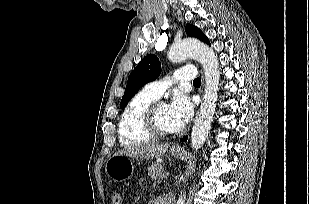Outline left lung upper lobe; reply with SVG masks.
I'll return each instance as SVG.
<instances>
[{"instance_id": "5c2ea615", "label": "left lung upper lobe", "mask_w": 309, "mask_h": 204, "mask_svg": "<svg viewBox=\"0 0 309 204\" xmlns=\"http://www.w3.org/2000/svg\"><path fill=\"white\" fill-rule=\"evenodd\" d=\"M185 31L188 36L196 37L204 43L210 44L208 38L198 27L186 24ZM160 73L161 64L157 56L150 54L144 57L129 75L125 93L120 103V108L124 109L134 94L143 85L158 78Z\"/></svg>"}]
</instances>
